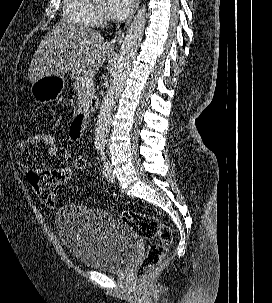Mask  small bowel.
Listing matches in <instances>:
<instances>
[{
    "mask_svg": "<svg viewBox=\"0 0 272 303\" xmlns=\"http://www.w3.org/2000/svg\"><path fill=\"white\" fill-rule=\"evenodd\" d=\"M71 137L77 139L73 130L71 131ZM30 146H38L37 135H30L25 141H21L15 146V154L17 157H23ZM47 153L50 156L58 155V148L53 150H48ZM19 166L23 172L29 174L33 173L37 185L41 191H48L49 188L65 185L71 177V171L67 167H51L43 170H30L29 167L23 163L19 162Z\"/></svg>",
    "mask_w": 272,
    "mask_h": 303,
    "instance_id": "c3829d8e",
    "label": "small bowel"
}]
</instances>
